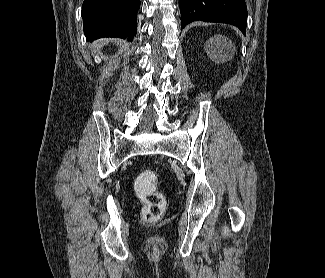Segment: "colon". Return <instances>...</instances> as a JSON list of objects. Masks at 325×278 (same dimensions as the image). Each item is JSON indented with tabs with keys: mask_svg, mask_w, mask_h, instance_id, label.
I'll return each instance as SVG.
<instances>
[{
	"mask_svg": "<svg viewBox=\"0 0 325 278\" xmlns=\"http://www.w3.org/2000/svg\"><path fill=\"white\" fill-rule=\"evenodd\" d=\"M137 195L143 200L142 218L149 223L158 222L165 211L166 201L158 190V178L153 170L140 173L134 182Z\"/></svg>",
	"mask_w": 325,
	"mask_h": 278,
	"instance_id": "1",
	"label": "colon"
}]
</instances>
